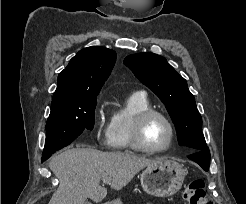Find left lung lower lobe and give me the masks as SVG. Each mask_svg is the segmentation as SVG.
<instances>
[{
  "mask_svg": "<svg viewBox=\"0 0 246 204\" xmlns=\"http://www.w3.org/2000/svg\"><path fill=\"white\" fill-rule=\"evenodd\" d=\"M188 158L198 163L204 170H209L210 152L208 147L197 150L195 154L188 156Z\"/></svg>",
  "mask_w": 246,
  "mask_h": 204,
  "instance_id": "obj_1",
  "label": "left lung lower lobe"
}]
</instances>
